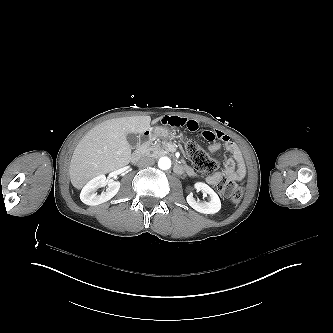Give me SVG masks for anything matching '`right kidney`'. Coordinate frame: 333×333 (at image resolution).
Segmentation results:
<instances>
[{
	"instance_id": "ca27d5eb",
	"label": "right kidney",
	"mask_w": 333,
	"mask_h": 333,
	"mask_svg": "<svg viewBox=\"0 0 333 333\" xmlns=\"http://www.w3.org/2000/svg\"><path fill=\"white\" fill-rule=\"evenodd\" d=\"M108 185V188L105 192H102L100 195L96 193L97 189L105 187ZM120 188V182L107 180L105 175H99L91 179L81 190L80 199L84 204L87 205H99L104 202H107L113 198Z\"/></svg>"
}]
</instances>
